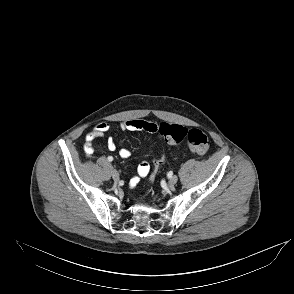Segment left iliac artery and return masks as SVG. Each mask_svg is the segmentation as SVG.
Listing matches in <instances>:
<instances>
[{"label": "left iliac artery", "instance_id": "44dca946", "mask_svg": "<svg viewBox=\"0 0 294 294\" xmlns=\"http://www.w3.org/2000/svg\"><path fill=\"white\" fill-rule=\"evenodd\" d=\"M174 174H175L174 171L172 169H169L166 176L168 179H171L172 176H174Z\"/></svg>", "mask_w": 294, "mask_h": 294}]
</instances>
